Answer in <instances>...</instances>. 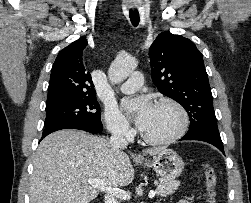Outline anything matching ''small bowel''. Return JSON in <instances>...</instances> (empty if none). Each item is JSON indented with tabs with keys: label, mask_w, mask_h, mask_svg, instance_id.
Returning a JSON list of instances; mask_svg holds the SVG:
<instances>
[{
	"label": "small bowel",
	"mask_w": 251,
	"mask_h": 203,
	"mask_svg": "<svg viewBox=\"0 0 251 203\" xmlns=\"http://www.w3.org/2000/svg\"><path fill=\"white\" fill-rule=\"evenodd\" d=\"M179 203H190V202L187 200H181Z\"/></svg>",
	"instance_id": "c3829d8e"
}]
</instances>
